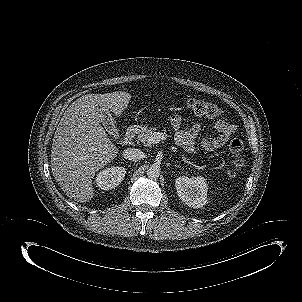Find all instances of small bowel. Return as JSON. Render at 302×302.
<instances>
[{"mask_svg":"<svg viewBox=\"0 0 302 302\" xmlns=\"http://www.w3.org/2000/svg\"><path fill=\"white\" fill-rule=\"evenodd\" d=\"M170 123L175 130V139L177 143L186 150L193 151L201 125L196 123L188 130H184L183 120L179 115H173L170 118ZM214 129L217 132V135L214 137L203 138L200 142L202 148L211 150L224 146L236 130L234 125L223 119L215 122Z\"/></svg>","mask_w":302,"mask_h":302,"instance_id":"1","label":"small bowel"}]
</instances>
